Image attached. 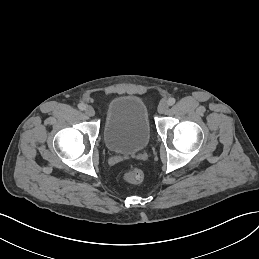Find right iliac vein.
I'll list each match as a JSON object with an SVG mask.
<instances>
[{"instance_id":"63e3f726","label":"right iliac vein","mask_w":259,"mask_h":259,"mask_svg":"<svg viewBox=\"0 0 259 259\" xmlns=\"http://www.w3.org/2000/svg\"><path fill=\"white\" fill-rule=\"evenodd\" d=\"M85 113L86 115H88L89 117H93L95 115V111L91 106H87L85 109Z\"/></svg>"}]
</instances>
